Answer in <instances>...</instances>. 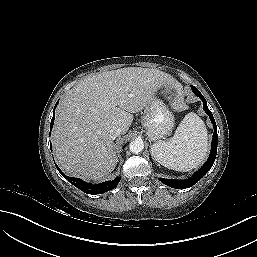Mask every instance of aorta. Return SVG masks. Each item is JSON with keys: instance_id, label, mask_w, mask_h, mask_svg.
<instances>
[{"instance_id": "1", "label": "aorta", "mask_w": 257, "mask_h": 257, "mask_svg": "<svg viewBox=\"0 0 257 257\" xmlns=\"http://www.w3.org/2000/svg\"><path fill=\"white\" fill-rule=\"evenodd\" d=\"M129 149L132 153L138 154L144 149V143L142 140L136 139L129 144Z\"/></svg>"}]
</instances>
